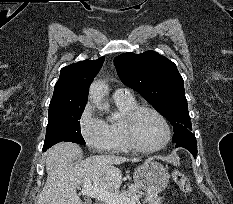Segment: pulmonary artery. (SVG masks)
<instances>
[{
  "instance_id": "obj_1",
  "label": "pulmonary artery",
  "mask_w": 233,
  "mask_h": 204,
  "mask_svg": "<svg viewBox=\"0 0 233 204\" xmlns=\"http://www.w3.org/2000/svg\"><path fill=\"white\" fill-rule=\"evenodd\" d=\"M114 97L130 98V97H132V93L126 88H118L114 92Z\"/></svg>"
}]
</instances>
